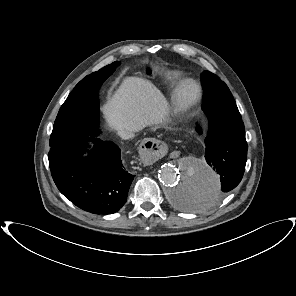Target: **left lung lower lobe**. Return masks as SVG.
I'll return each instance as SVG.
<instances>
[{"label": "left lung lower lobe", "mask_w": 296, "mask_h": 296, "mask_svg": "<svg viewBox=\"0 0 296 296\" xmlns=\"http://www.w3.org/2000/svg\"><path fill=\"white\" fill-rule=\"evenodd\" d=\"M202 110L208 118L205 137V159L220 175L221 188L203 192L187 179L178 190V203L185 210H204L233 190L241 181L247 160L245 128L233 98L203 100ZM201 133L199 127L196 128Z\"/></svg>", "instance_id": "obj_1"}]
</instances>
